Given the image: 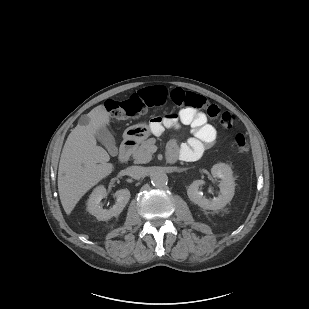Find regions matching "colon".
<instances>
[{
	"mask_svg": "<svg viewBox=\"0 0 309 309\" xmlns=\"http://www.w3.org/2000/svg\"><path fill=\"white\" fill-rule=\"evenodd\" d=\"M168 97L178 107L204 110L211 119L224 128L229 129L233 125V116L228 111L210 103L201 94L179 87L169 91L163 86H155L134 94L126 100L109 99L104 103V107L115 119L124 120L137 117L151 107L162 106ZM234 144L240 153H246L249 150L248 139L243 134L235 135Z\"/></svg>",
	"mask_w": 309,
	"mask_h": 309,
	"instance_id": "obj_1",
	"label": "colon"
}]
</instances>
